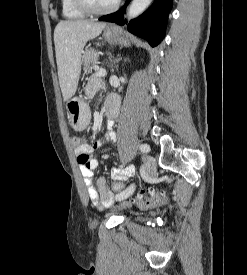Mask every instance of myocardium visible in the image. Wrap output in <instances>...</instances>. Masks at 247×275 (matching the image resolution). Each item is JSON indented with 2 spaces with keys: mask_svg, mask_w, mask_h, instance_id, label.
<instances>
[{
  "mask_svg": "<svg viewBox=\"0 0 247 275\" xmlns=\"http://www.w3.org/2000/svg\"><path fill=\"white\" fill-rule=\"evenodd\" d=\"M71 1L76 9H78L79 11H81L86 15H106V14L112 13L119 7L121 2V0H116L115 3L108 8L96 9L91 7L86 0H71Z\"/></svg>",
  "mask_w": 247,
  "mask_h": 275,
  "instance_id": "f54148a6",
  "label": "myocardium"
}]
</instances>
